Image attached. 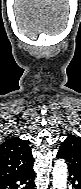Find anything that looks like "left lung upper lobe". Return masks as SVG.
I'll return each instance as SVG.
<instances>
[{"instance_id":"obj_1","label":"left lung upper lobe","mask_w":81,"mask_h":189,"mask_svg":"<svg viewBox=\"0 0 81 189\" xmlns=\"http://www.w3.org/2000/svg\"><path fill=\"white\" fill-rule=\"evenodd\" d=\"M57 156L66 160L69 172L81 176V139L69 135L61 143Z\"/></svg>"}]
</instances>
